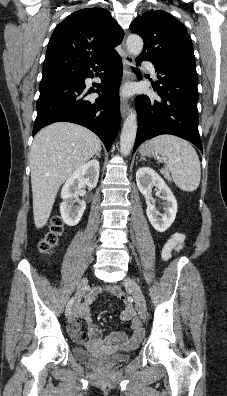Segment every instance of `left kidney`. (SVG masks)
<instances>
[{
  "label": "left kidney",
  "instance_id": "left-kidney-1",
  "mask_svg": "<svg viewBox=\"0 0 227 396\" xmlns=\"http://www.w3.org/2000/svg\"><path fill=\"white\" fill-rule=\"evenodd\" d=\"M136 182L139 191L146 199V214L151 225L158 232L166 231L174 222L176 217L177 201L175 196L161 176L149 167H142L137 170ZM153 186L157 187L159 193L163 195L164 214L158 213L155 206L150 202V194Z\"/></svg>",
  "mask_w": 227,
  "mask_h": 396
}]
</instances>
